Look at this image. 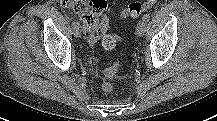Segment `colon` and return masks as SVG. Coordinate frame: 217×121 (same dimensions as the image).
<instances>
[{
  "instance_id": "obj_1",
  "label": "colon",
  "mask_w": 217,
  "mask_h": 121,
  "mask_svg": "<svg viewBox=\"0 0 217 121\" xmlns=\"http://www.w3.org/2000/svg\"><path fill=\"white\" fill-rule=\"evenodd\" d=\"M157 0H144L143 2L131 3L122 13L121 17L132 16L138 17L143 12L151 9ZM61 6L69 13L80 16L84 27L92 31L95 35H99L105 31L104 14L107 9L106 0H60ZM119 36L106 35L103 38L102 45L112 51L116 48ZM120 68L119 61H113L109 66L102 70L105 80L102 83V90L110 93L114 90V85L108 80L113 77Z\"/></svg>"
}]
</instances>
